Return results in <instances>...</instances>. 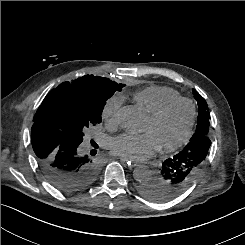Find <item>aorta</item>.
Masks as SVG:
<instances>
[{
  "label": "aorta",
  "instance_id": "obj_1",
  "mask_svg": "<svg viewBox=\"0 0 245 245\" xmlns=\"http://www.w3.org/2000/svg\"><path fill=\"white\" fill-rule=\"evenodd\" d=\"M119 121L126 131L138 133L143 129L145 118L137 106L128 105L121 109ZM133 176L138 182L145 183L154 177V172L147 166H139L134 170Z\"/></svg>",
  "mask_w": 245,
  "mask_h": 245
}]
</instances>
